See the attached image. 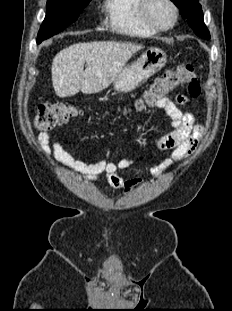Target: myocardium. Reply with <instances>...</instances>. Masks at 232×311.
<instances>
[{
  "instance_id": "obj_1",
  "label": "myocardium",
  "mask_w": 232,
  "mask_h": 311,
  "mask_svg": "<svg viewBox=\"0 0 232 311\" xmlns=\"http://www.w3.org/2000/svg\"><path fill=\"white\" fill-rule=\"evenodd\" d=\"M151 1L152 0H140L139 7H138V13H139V16H140L142 22L146 26H148L149 28L153 29L156 32L168 31V30L172 29L176 25L177 20H178V7H177V5L174 3L173 0H165L170 5V7L173 11V19L169 25L160 26V25L154 23L148 15V6H149V3Z\"/></svg>"
}]
</instances>
